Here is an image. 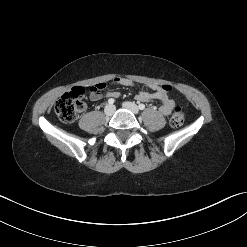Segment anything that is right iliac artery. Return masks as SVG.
<instances>
[{
    "label": "right iliac artery",
    "mask_w": 247,
    "mask_h": 247,
    "mask_svg": "<svg viewBox=\"0 0 247 247\" xmlns=\"http://www.w3.org/2000/svg\"><path fill=\"white\" fill-rule=\"evenodd\" d=\"M114 102H115V100H114L113 98H110V99L108 100V103H109L110 105L114 104Z\"/></svg>",
    "instance_id": "1"
}]
</instances>
